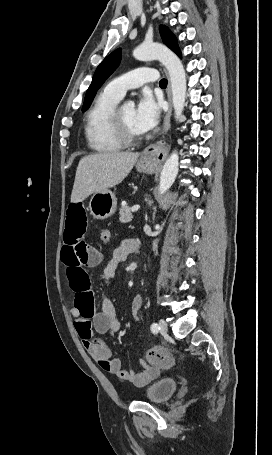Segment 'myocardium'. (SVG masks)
I'll return each instance as SVG.
<instances>
[{"label": "myocardium", "instance_id": "1", "mask_svg": "<svg viewBox=\"0 0 272 455\" xmlns=\"http://www.w3.org/2000/svg\"><path fill=\"white\" fill-rule=\"evenodd\" d=\"M121 109L122 106L117 105L111 113L110 124L112 132L123 146L135 145L141 140V136L132 134L127 129L122 118Z\"/></svg>", "mask_w": 272, "mask_h": 455}]
</instances>
